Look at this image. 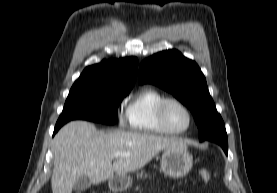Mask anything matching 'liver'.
<instances>
[{"label":"liver","instance_id":"1","mask_svg":"<svg viewBox=\"0 0 277 193\" xmlns=\"http://www.w3.org/2000/svg\"><path fill=\"white\" fill-rule=\"evenodd\" d=\"M187 147L178 138L140 132L97 131L86 121H72L59 130L53 141V193H72L77 179L89 178L99 184L116 175H126L145 166L161 150ZM129 156L114 160V153Z\"/></svg>","mask_w":277,"mask_h":193}]
</instances>
